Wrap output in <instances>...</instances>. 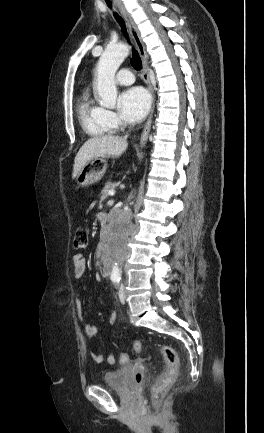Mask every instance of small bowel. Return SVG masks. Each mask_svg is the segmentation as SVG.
<instances>
[{
    "mask_svg": "<svg viewBox=\"0 0 264 433\" xmlns=\"http://www.w3.org/2000/svg\"><path fill=\"white\" fill-rule=\"evenodd\" d=\"M73 265H74L75 277L76 278L82 277V275L84 274V272L86 270L85 257L80 253L75 254L73 256ZM95 280L97 282H101V280H102L101 275L97 274L95 276ZM77 313H78L79 318L82 319V307H81V303L79 300L77 301ZM115 321H116V317H115V315H112L109 319V323L114 324ZM84 332L88 337H94L98 333V327L94 324L86 323V324H84ZM90 356H91V359L93 360V362H95L97 364H100L104 361V356L99 352L92 351ZM107 362L109 364H113L115 362L114 356H112V355L108 356Z\"/></svg>",
    "mask_w": 264,
    "mask_h": 433,
    "instance_id": "1",
    "label": "small bowel"
}]
</instances>
